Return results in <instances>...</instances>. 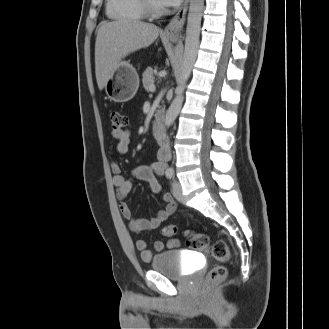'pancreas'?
Here are the masks:
<instances>
[{"mask_svg": "<svg viewBox=\"0 0 329 329\" xmlns=\"http://www.w3.org/2000/svg\"><path fill=\"white\" fill-rule=\"evenodd\" d=\"M154 75H155V71L151 67H148L144 71L142 75V83H143V87L146 90H149L150 85L154 83V79H155Z\"/></svg>", "mask_w": 329, "mask_h": 329, "instance_id": "obj_1", "label": "pancreas"}]
</instances>
